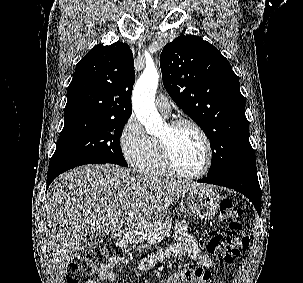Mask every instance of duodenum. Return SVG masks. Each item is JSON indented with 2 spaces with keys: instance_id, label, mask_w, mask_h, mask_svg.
<instances>
[{
  "instance_id": "1",
  "label": "duodenum",
  "mask_w": 303,
  "mask_h": 283,
  "mask_svg": "<svg viewBox=\"0 0 303 283\" xmlns=\"http://www.w3.org/2000/svg\"><path fill=\"white\" fill-rule=\"evenodd\" d=\"M129 226H130V222H128V221L121 222L114 230V236L115 237L122 236L125 233V231L128 229Z\"/></svg>"
}]
</instances>
